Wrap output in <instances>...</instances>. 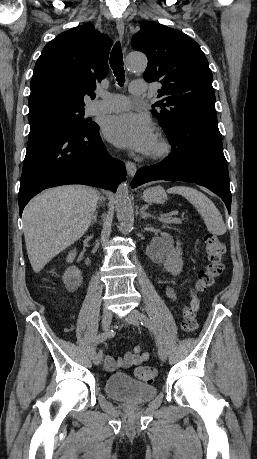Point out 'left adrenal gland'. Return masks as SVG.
<instances>
[{"instance_id":"left-adrenal-gland-1","label":"left adrenal gland","mask_w":257,"mask_h":459,"mask_svg":"<svg viewBox=\"0 0 257 459\" xmlns=\"http://www.w3.org/2000/svg\"><path fill=\"white\" fill-rule=\"evenodd\" d=\"M146 209H147L146 205L142 206V208L140 209V215H141L142 219H146L148 217H151V218L155 219V216H153L152 214L146 212Z\"/></svg>"}]
</instances>
